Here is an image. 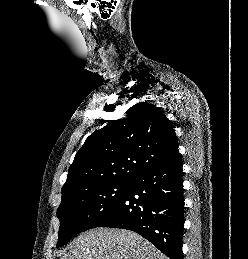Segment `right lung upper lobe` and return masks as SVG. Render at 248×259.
Segmentation results:
<instances>
[{
    "mask_svg": "<svg viewBox=\"0 0 248 259\" xmlns=\"http://www.w3.org/2000/svg\"><path fill=\"white\" fill-rule=\"evenodd\" d=\"M126 113L86 139L69 168L62 196L87 184L132 181L180 156L174 129L159 107L140 102Z\"/></svg>",
    "mask_w": 248,
    "mask_h": 259,
    "instance_id": "1",
    "label": "right lung upper lobe"
}]
</instances>
